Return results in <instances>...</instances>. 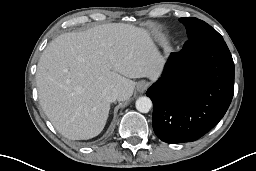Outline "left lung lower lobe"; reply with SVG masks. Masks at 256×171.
<instances>
[{"mask_svg": "<svg viewBox=\"0 0 256 171\" xmlns=\"http://www.w3.org/2000/svg\"><path fill=\"white\" fill-rule=\"evenodd\" d=\"M233 93L234 62L223 38L188 40L146 92L153 130L167 143L195 141L222 119Z\"/></svg>", "mask_w": 256, "mask_h": 171, "instance_id": "left-lung-lower-lobe-1", "label": "left lung lower lobe"}]
</instances>
